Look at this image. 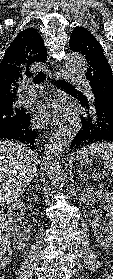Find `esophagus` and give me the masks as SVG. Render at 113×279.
Returning <instances> with one entry per match:
<instances>
[{
	"instance_id": "1",
	"label": "esophagus",
	"mask_w": 113,
	"mask_h": 279,
	"mask_svg": "<svg viewBox=\"0 0 113 279\" xmlns=\"http://www.w3.org/2000/svg\"><path fill=\"white\" fill-rule=\"evenodd\" d=\"M55 74H56V76H57L58 78H67V75H65L64 72H63V70H61V69H60V70H57V71L55 72ZM72 119H73V114L68 113V114L64 115V116L60 119V122L57 123V124L63 125V124H65V123H67V122H70Z\"/></svg>"
}]
</instances>
